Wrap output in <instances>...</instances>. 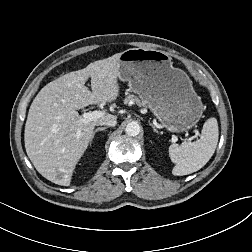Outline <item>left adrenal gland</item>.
I'll list each match as a JSON object with an SVG mask.
<instances>
[{"label": "left adrenal gland", "instance_id": "obj_1", "mask_svg": "<svg viewBox=\"0 0 252 252\" xmlns=\"http://www.w3.org/2000/svg\"><path fill=\"white\" fill-rule=\"evenodd\" d=\"M150 125L153 128V131L156 132V133H158V131L156 130V128L153 126V124L150 123Z\"/></svg>", "mask_w": 252, "mask_h": 252}]
</instances>
